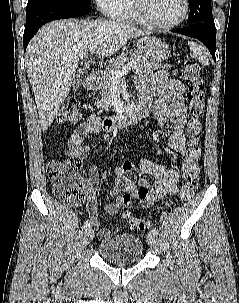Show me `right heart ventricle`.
<instances>
[{"instance_id": "obj_1", "label": "right heart ventricle", "mask_w": 239, "mask_h": 303, "mask_svg": "<svg viewBox=\"0 0 239 303\" xmlns=\"http://www.w3.org/2000/svg\"><path fill=\"white\" fill-rule=\"evenodd\" d=\"M116 19L121 21L134 22V23L139 22L134 14L131 0H126L124 11Z\"/></svg>"}]
</instances>
